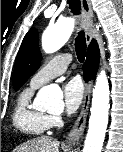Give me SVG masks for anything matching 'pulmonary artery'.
<instances>
[{"label": "pulmonary artery", "instance_id": "1", "mask_svg": "<svg viewBox=\"0 0 123 152\" xmlns=\"http://www.w3.org/2000/svg\"><path fill=\"white\" fill-rule=\"evenodd\" d=\"M70 62L71 55L68 53L55 56L32 76L30 86L33 88H38L55 77L63 74Z\"/></svg>", "mask_w": 123, "mask_h": 152}]
</instances>
